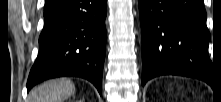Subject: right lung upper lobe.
I'll list each match as a JSON object with an SVG mask.
<instances>
[{"label": "right lung upper lobe", "instance_id": "right-lung-upper-lobe-1", "mask_svg": "<svg viewBox=\"0 0 221 102\" xmlns=\"http://www.w3.org/2000/svg\"><path fill=\"white\" fill-rule=\"evenodd\" d=\"M57 0H46L44 9L48 8L52 4H54Z\"/></svg>", "mask_w": 221, "mask_h": 102}]
</instances>
